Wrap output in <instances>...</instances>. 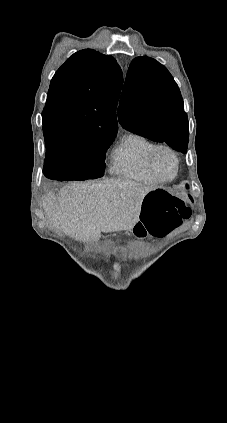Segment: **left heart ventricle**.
<instances>
[{
  "mask_svg": "<svg viewBox=\"0 0 227 423\" xmlns=\"http://www.w3.org/2000/svg\"><path fill=\"white\" fill-rule=\"evenodd\" d=\"M154 164L158 172L164 178H171L175 173V161L170 153L165 150H159L154 156Z\"/></svg>",
  "mask_w": 227,
  "mask_h": 423,
  "instance_id": "1",
  "label": "left heart ventricle"
}]
</instances>
